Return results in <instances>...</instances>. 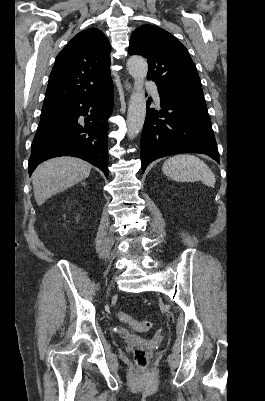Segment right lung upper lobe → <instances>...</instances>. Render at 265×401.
<instances>
[{
	"label": "right lung upper lobe",
	"instance_id": "obj_1",
	"mask_svg": "<svg viewBox=\"0 0 265 401\" xmlns=\"http://www.w3.org/2000/svg\"><path fill=\"white\" fill-rule=\"evenodd\" d=\"M111 47L96 28L78 33L58 54L49 76L43 108L102 90L110 83Z\"/></svg>",
	"mask_w": 265,
	"mask_h": 401
}]
</instances>
